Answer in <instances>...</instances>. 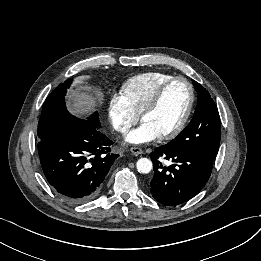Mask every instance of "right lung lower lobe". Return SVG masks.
<instances>
[{
	"label": "right lung lower lobe",
	"instance_id": "1",
	"mask_svg": "<svg viewBox=\"0 0 261 261\" xmlns=\"http://www.w3.org/2000/svg\"><path fill=\"white\" fill-rule=\"evenodd\" d=\"M99 127L76 121L38 143L43 172L54 191L69 202L81 203L95 197L110 167L119 156Z\"/></svg>",
	"mask_w": 261,
	"mask_h": 261
}]
</instances>
